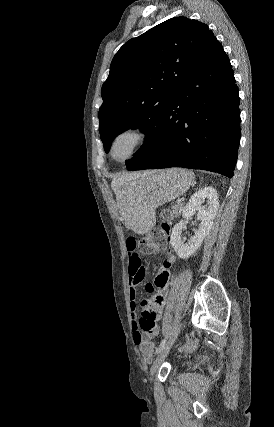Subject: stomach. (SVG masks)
I'll list each match as a JSON object with an SVG mask.
<instances>
[{"label": "stomach", "instance_id": "stomach-1", "mask_svg": "<svg viewBox=\"0 0 274 427\" xmlns=\"http://www.w3.org/2000/svg\"><path fill=\"white\" fill-rule=\"evenodd\" d=\"M193 182V172L182 168L143 172L141 178H132V182H129L130 188L126 190L120 212L133 215L134 231L146 233L156 221V208L183 196ZM125 223L127 225L128 221Z\"/></svg>", "mask_w": 274, "mask_h": 427}]
</instances>
